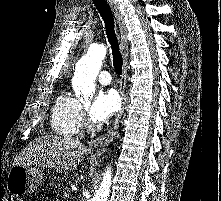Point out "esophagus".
Segmentation results:
<instances>
[{
  "instance_id": "esophagus-1",
  "label": "esophagus",
  "mask_w": 221,
  "mask_h": 201,
  "mask_svg": "<svg viewBox=\"0 0 221 201\" xmlns=\"http://www.w3.org/2000/svg\"><path fill=\"white\" fill-rule=\"evenodd\" d=\"M108 4L110 5L119 30V41H120V51L123 57V67H122V75L119 84V92L122 99V107L117 114L115 122L111 129L108 130L106 134H104L97 142V151L94 155L95 159H99L105 148L108 144L114 139L120 119L125 109V87H126V80H127V71H128V39H127V29L124 23V16L122 11L119 9V5L115 2V0H107Z\"/></svg>"
}]
</instances>
